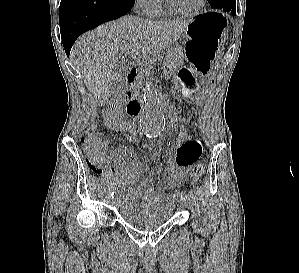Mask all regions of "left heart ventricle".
I'll use <instances>...</instances> for the list:
<instances>
[{
	"label": "left heart ventricle",
	"instance_id": "b2bd125f",
	"mask_svg": "<svg viewBox=\"0 0 299 273\" xmlns=\"http://www.w3.org/2000/svg\"><path fill=\"white\" fill-rule=\"evenodd\" d=\"M172 3L182 10H192L200 2V0H171Z\"/></svg>",
	"mask_w": 299,
	"mask_h": 273
}]
</instances>
